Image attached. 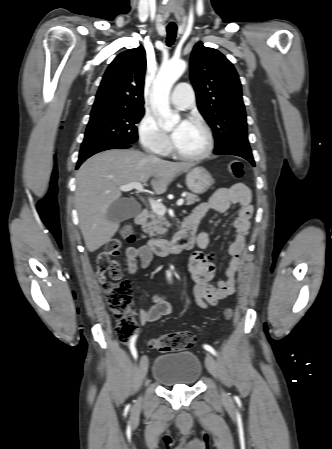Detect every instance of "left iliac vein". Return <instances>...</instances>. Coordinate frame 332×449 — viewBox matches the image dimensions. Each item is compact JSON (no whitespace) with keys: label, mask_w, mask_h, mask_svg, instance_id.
<instances>
[{"label":"left iliac vein","mask_w":332,"mask_h":449,"mask_svg":"<svg viewBox=\"0 0 332 449\" xmlns=\"http://www.w3.org/2000/svg\"><path fill=\"white\" fill-rule=\"evenodd\" d=\"M205 364L207 367V370L216 378L218 379L220 376L219 368L217 365V362L215 358L211 354H207L205 358ZM222 395L226 396L225 392L222 391Z\"/></svg>","instance_id":"obj_1"}]
</instances>
